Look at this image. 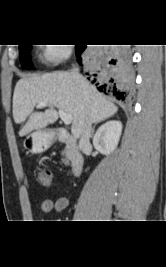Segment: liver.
<instances>
[{
  "label": "liver",
  "mask_w": 166,
  "mask_h": 267,
  "mask_svg": "<svg viewBox=\"0 0 166 267\" xmlns=\"http://www.w3.org/2000/svg\"><path fill=\"white\" fill-rule=\"evenodd\" d=\"M39 102H47L49 108L45 112H34ZM55 108L72 115L71 132L76 138L81 136L86 123L100 122L118 110L88 81L85 80L82 86L66 71L23 77L17 82L13 94V118L17 124L28 119L20 136L55 123L59 117Z\"/></svg>",
  "instance_id": "obj_1"
}]
</instances>
